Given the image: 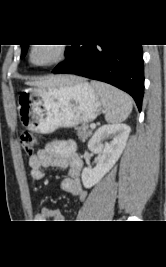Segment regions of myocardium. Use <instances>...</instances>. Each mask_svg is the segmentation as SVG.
Returning a JSON list of instances; mask_svg holds the SVG:
<instances>
[{"instance_id": "obj_1", "label": "myocardium", "mask_w": 166, "mask_h": 267, "mask_svg": "<svg viewBox=\"0 0 166 267\" xmlns=\"http://www.w3.org/2000/svg\"><path fill=\"white\" fill-rule=\"evenodd\" d=\"M40 45H50L53 48L54 56L52 59L42 63H37L33 60V53ZM67 53L68 49L63 44H33L28 49L27 61L34 68H48L62 62L65 59Z\"/></svg>"}]
</instances>
